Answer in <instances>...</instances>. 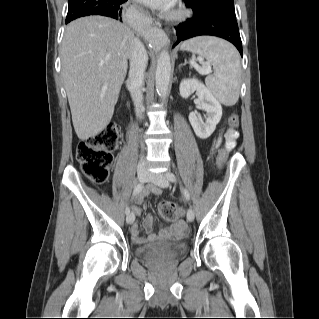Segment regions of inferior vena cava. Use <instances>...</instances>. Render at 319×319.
Returning a JSON list of instances; mask_svg holds the SVG:
<instances>
[{"label": "inferior vena cava", "instance_id": "602c4592", "mask_svg": "<svg viewBox=\"0 0 319 319\" xmlns=\"http://www.w3.org/2000/svg\"><path fill=\"white\" fill-rule=\"evenodd\" d=\"M130 70H129V91L135 105L136 115L141 118L143 95L141 87L144 84V73L147 67L148 55L144 45L137 38H133L131 42V50L129 53ZM146 162L141 159L138 163V169H146Z\"/></svg>", "mask_w": 319, "mask_h": 319}]
</instances>
